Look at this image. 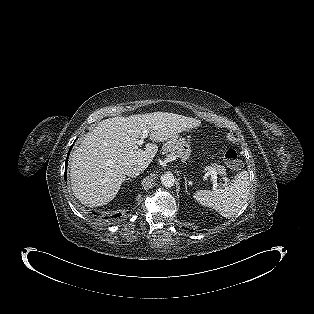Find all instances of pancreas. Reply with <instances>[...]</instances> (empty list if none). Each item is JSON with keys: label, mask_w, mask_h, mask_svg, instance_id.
Listing matches in <instances>:
<instances>
[{"label": "pancreas", "mask_w": 314, "mask_h": 314, "mask_svg": "<svg viewBox=\"0 0 314 314\" xmlns=\"http://www.w3.org/2000/svg\"><path fill=\"white\" fill-rule=\"evenodd\" d=\"M167 145H168L167 143L164 144V149L167 147ZM169 155L171 156V155H173V153H169ZM213 167L218 174H220V175L226 174V169L224 166L215 164Z\"/></svg>", "instance_id": "obj_1"}]
</instances>
